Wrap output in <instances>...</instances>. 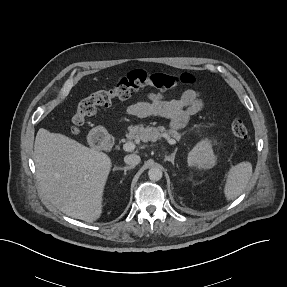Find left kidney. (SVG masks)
<instances>
[{
  "label": "left kidney",
  "instance_id": "1",
  "mask_svg": "<svg viewBox=\"0 0 287 287\" xmlns=\"http://www.w3.org/2000/svg\"><path fill=\"white\" fill-rule=\"evenodd\" d=\"M188 165L199 169H210L216 163L215 155L208 140L198 143L188 154Z\"/></svg>",
  "mask_w": 287,
  "mask_h": 287
}]
</instances>
